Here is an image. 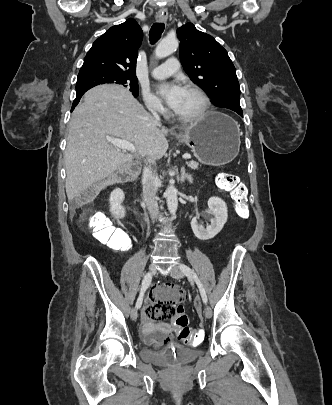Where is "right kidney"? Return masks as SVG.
Wrapping results in <instances>:
<instances>
[{
	"label": "right kidney",
	"instance_id": "ca27d5eb",
	"mask_svg": "<svg viewBox=\"0 0 332 405\" xmlns=\"http://www.w3.org/2000/svg\"><path fill=\"white\" fill-rule=\"evenodd\" d=\"M124 199H125L124 192L119 188L115 189L110 194L109 198L110 212L117 219H122L126 215L125 208L122 206Z\"/></svg>",
	"mask_w": 332,
	"mask_h": 405
}]
</instances>
